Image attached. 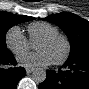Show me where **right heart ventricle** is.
<instances>
[{
	"instance_id": "e07e8e85",
	"label": "right heart ventricle",
	"mask_w": 89,
	"mask_h": 89,
	"mask_svg": "<svg viewBox=\"0 0 89 89\" xmlns=\"http://www.w3.org/2000/svg\"><path fill=\"white\" fill-rule=\"evenodd\" d=\"M29 34V40L31 43H36L41 37L57 33L58 28L48 22H34L31 23L27 28Z\"/></svg>"
}]
</instances>
